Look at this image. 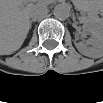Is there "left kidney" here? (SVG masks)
Listing matches in <instances>:
<instances>
[{
    "instance_id": "left-kidney-1",
    "label": "left kidney",
    "mask_w": 103,
    "mask_h": 103,
    "mask_svg": "<svg viewBox=\"0 0 103 103\" xmlns=\"http://www.w3.org/2000/svg\"><path fill=\"white\" fill-rule=\"evenodd\" d=\"M88 46L82 42L75 43L77 50L88 57L98 58L102 55L103 37L101 33L92 32V37L88 40Z\"/></svg>"
}]
</instances>
